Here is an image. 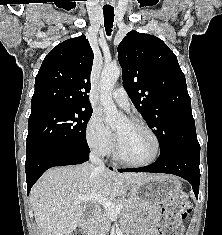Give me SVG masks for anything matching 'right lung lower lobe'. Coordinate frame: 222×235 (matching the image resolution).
Returning a JSON list of instances; mask_svg holds the SVG:
<instances>
[{
	"mask_svg": "<svg viewBox=\"0 0 222 235\" xmlns=\"http://www.w3.org/2000/svg\"><path fill=\"white\" fill-rule=\"evenodd\" d=\"M89 152L59 148L41 152L30 160H26L25 171L28 194L34 183L47 169L53 166L81 164L89 160Z\"/></svg>",
	"mask_w": 222,
	"mask_h": 235,
	"instance_id": "right-lung-lower-lobe-1",
	"label": "right lung lower lobe"
}]
</instances>
